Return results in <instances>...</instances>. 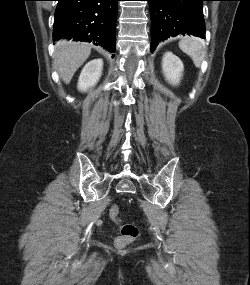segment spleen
Instances as JSON below:
<instances>
[{"instance_id": "obj_1", "label": "spleen", "mask_w": 250, "mask_h": 285, "mask_svg": "<svg viewBox=\"0 0 250 285\" xmlns=\"http://www.w3.org/2000/svg\"><path fill=\"white\" fill-rule=\"evenodd\" d=\"M179 48L189 55L196 67H200L205 57L203 42L196 37H185L179 42Z\"/></svg>"}]
</instances>
